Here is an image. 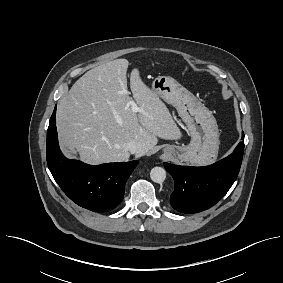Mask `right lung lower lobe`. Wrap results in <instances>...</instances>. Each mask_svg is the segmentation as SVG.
Here are the masks:
<instances>
[{
  "instance_id": "right-lung-lower-lobe-1",
  "label": "right lung lower lobe",
  "mask_w": 283,
  "mask_h": 283,
  "mask_svg": "<svg viewBox=\"0 0 283 283\" xmlns=\"http://www.w3.org/2000/svg\"><path fill=\"white\" fill-rule=\"evenodd\" d=\"M55 115L56 108L49 122L46 149L52 176L77 205L95 212L112 210L122 201L126 181L138 161L91 166L65 158L58 146Z\"/></svg>"
}]
</instances>
